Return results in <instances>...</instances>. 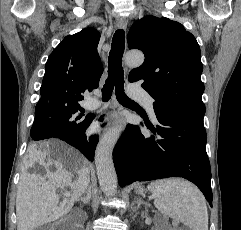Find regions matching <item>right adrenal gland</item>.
<instances>
[{
    "mask_svg": "<svg viewBox=\"0 0 241 230\" xmlns=\"http://www.w3.org/2000/svg\"><path fill=\"white\" fill-rule=\"evenodd\" d=\"M91 199V187H88V190L86 191V197L80 198L77 201L82 202L84 205L88 204Z\"/></svg>",
    "mask_w": 241,
    "mask_h": 230,
    "instance_id": "obj_1",
    "label": "right adrenal gland"
}]
</instances>
